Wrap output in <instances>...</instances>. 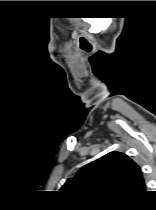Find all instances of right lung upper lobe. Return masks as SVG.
<instances>
[{
    "mask_svg": "<svg viewBox=\"0 0 156 210\" xmlns=\"http://www.w3.org/2000/svg\"><path fill=\"white\" fill-rule=\"evenodd\" d=\"M145 190L141 168L117 151L85 165L61 188L78 199L96 203L131 202Z\"/></svg>",
    "mask_w": 156,
    "mask_h": 210,
    "instance_id": "cb5924a9",
    "label": "right lung upper lobe"
}]
</instances>
